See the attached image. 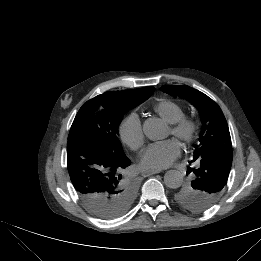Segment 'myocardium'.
Masks as SVG:
<instances>
[{
    "label": "myocardium",
    "instance_id": "obj_1",
    "mask_svg": "<svg viewBox=\"0 0 261 261\" xmlns=\"http://www.w3.org/2000/svg\"><path fill=\"white\" fill-rule=\"evenodd\" d=\"M199 129L198 121L188 115H183L174 123H171V132L182 142L189 144L197 136Z\"/></svg>",
    "mask_w": 261,
    "mask_h": 261
}]
</instances>
